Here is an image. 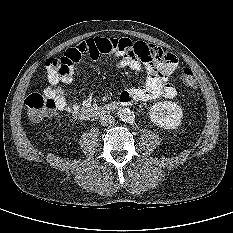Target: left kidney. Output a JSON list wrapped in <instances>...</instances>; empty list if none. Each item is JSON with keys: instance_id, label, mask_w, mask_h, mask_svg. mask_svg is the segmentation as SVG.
I'll list each match as a JSON object with an SVG mask.
<instances>
[{"instance_id": "5707ae66", "label": "left kidney", "mask_w": 233, "mask_h": 233, "mask_svg": "<svg viewBox=\"0 0 233 233\" xmlns=\"http://www.w3.org/2000/svg\"><path fill=\"white\" fill-rule=\"evenodd\" d=\"M149 114L151 122L164 129L177 128L183 116L181 107L171 101L155 103Z\"/></svg>"}]
</instances>
